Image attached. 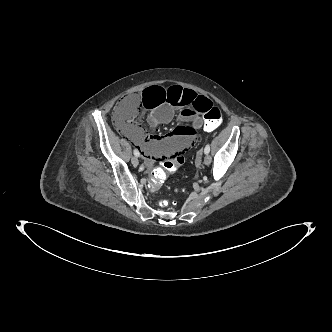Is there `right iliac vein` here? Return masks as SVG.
<instances>
[{
	"instance_id": "63e3f726",
	"label": "right iliac vein",
	"mask_w": 332,
	"mask_h": 332,
	"mask_svg": "<svg viewBox=\"0 0 332 332\" xmlns=\"http://www.w3.org/2000/svg\"><path fill=\"white\" fill-rule=\"evenodd\" d=\"M131 163L134 165V166H137L139 164V160L137 157H132L131 158Z\"/></svg>"
}]
</instances>
